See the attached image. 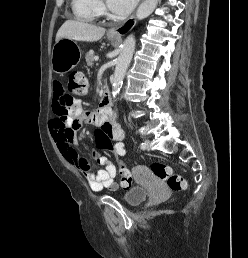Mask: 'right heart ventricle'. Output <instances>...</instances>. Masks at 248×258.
Masks as SVG:
<instances>
[{
    "label": "right heart ventricle",
    "instance_id": "obj_1",
    "mask_svg": "<svg viewBox=\"0 0 248 258\" xmlns=\"http://www.w3.org/2000/svg\"><path fill=\"white\" fill-rule=\"evenodd\" d=\"M71 8L75 19L92 23L100 15L99 0H71Z\"/></svg>",
    "mask_w": 248,
    "mask_h": 258
}]
</instances>
